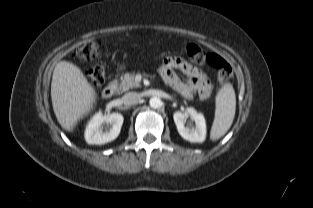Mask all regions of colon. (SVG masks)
Returning a JSON list of instances; mask_svg holds the SVG:
<instances>
[{
	"instance_id": "5ec220e1",
	"label": "colon",
	"mask_w": 313,
	"mask_h": 208,
	"mask_svg": "<svg viewBox=\"0 0 313 208\" xmlns=\"http://www.w3.org/2000/svg\"><path fill=\"white\" fill-rule=\"evenodd\" d=\"M188 57L197 64L207 62L209 65L217 70L218 80L220 82H227L232 78V67L219 55L211 53L207 54L195 44H190L186 49ZM99 54V46L94 41L83 43L76 50V55L81 60H92ZM88 77L92 84L101 85L105 80L104 68L97 65L90 69Z\"/></svg>"
}]
</instances>
